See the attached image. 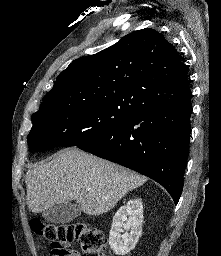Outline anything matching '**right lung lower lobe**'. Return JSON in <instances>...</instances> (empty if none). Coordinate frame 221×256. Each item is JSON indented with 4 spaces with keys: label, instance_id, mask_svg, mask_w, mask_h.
I'll list each match as a JSON object with an SVG mask.
<instances>
[{
    "label": "right lung lower lobe",
    "instance_id": "98d812e1",
    "mask_svg": "<svg viewBox=\"0 0 221 256\" xmlns=\"http://www.w3.org/2000/svg\"><path fill=\"white\" fill-rule=\"evenodd\" d=\"M191 98L147 109L77 147L144 174L178 203L189 154Z\"/></svg>",
    "mask_w": 221,
    "mask_h": 256
}]
</instances>
